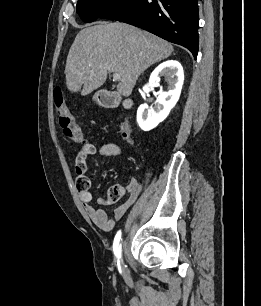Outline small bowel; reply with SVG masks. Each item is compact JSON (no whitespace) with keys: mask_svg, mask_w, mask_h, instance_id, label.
I'll return each instance as SVG.
<instances>
[{"mask_svg":"<svg viewBox=\"0 0 261 306\" xmlns=\"http://www.w3.org/2000/svg\"><path fill=\"white\" fill-rule=\"evenodd\" d=\"M95 153V148L93 147V153ZM122 150L119 145L115 143H107L101 146L99 149V154L105 157H117L120 156ZM87 160V159H86ZM86 160L78 161L76 160V177H77V184L85 182L88 184L86 188H78V196L80 201L82 202L87 214L93 221V223L104 231H110L113 229L115 223L119 221L128 208L134 204L141 192V186L139 182L132 178L127 183L126 187H122L121 185H115L122 190L124 194L125 191L128 193V198L119 207H117L114 211L112 216H108L105 210L94 206L92 201V194L90 192V179L87 175V163Z\"/></svg>","mask_w":261,"mask_h":306,"instance_id":"obj_1","label":"small bowel"}]
</instances>
